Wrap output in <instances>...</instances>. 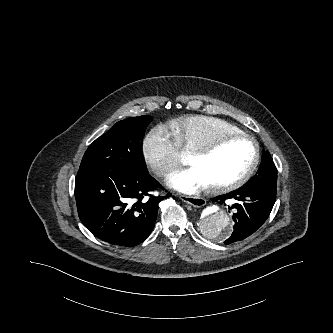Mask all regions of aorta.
I'll return each instance as SVG.
<instances>
[{"label": "aorta", "mask_w": 333, "mask_h": 333, "mask_svg": "<svg viewBox=\"0 0 333 333\" xmlns=\"http://www.w3.org/2000/svg\"><path fill=\"white\" fill-rule=\"evenodd\" d=\"M198 225L205 236L223 239L232 229V220L220 204H213L202 211Z\"/></svg>", "instance_id": "762f6f07"}]
</instances>
